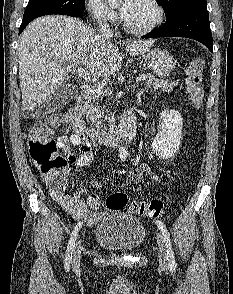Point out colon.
I'll use <instances>...</instances> for the list:
<instances>
[{
  "label": "colon",
  "mask_w": 233,
  "mask_h": 294,
  "mask_svg": "<svg viewBox=\"0 0 233 294\" xmlns=\"http://www.w3.org/2000/svg\"><path fill=\"white\" fill-rule=\"evenodd\" d=\"M204 60L194 57L187 68V93L191 104L199 108L204 97L203 71ZM55 118L36 122L29 129L26 137V146L29 156L35 166L47 177L50 184L58 189L66 185L67 160L57 154V144L52 136L53 128L56 126ZM100 201H93L92 206L100 207ZM104 206L110 210L127 208L130 212L144 215L148 218H156L163 212V203L160 200L139 201L129 203L124 193L110 195Z\"/></svg>",
  "instance_id": "colon-1"
}]
</instances>
